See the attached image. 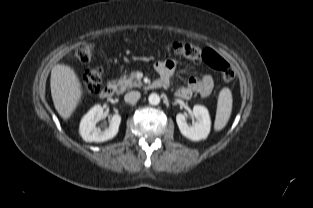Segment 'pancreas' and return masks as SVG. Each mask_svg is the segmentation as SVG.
<instances>
[{
  "instance_id": "obj_1",
  "label": "pancreas",
  "mask_w": 313,
  "mask_h": 208,
  "mask_svg": "<svg viewBox=\"0 0 313 208\" xmlns=\"http://www.w3.org/2000/svg\"><path fill=\"white\" fill-rule=\"evenodd\" d=\"M117 86L119 88V93H123L126 89H131L133 87H141L142 82L136 79L135 72H132L130 76L124 75L117 82Z\"/></svg>"
}]
</instances>
